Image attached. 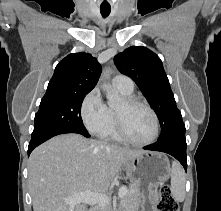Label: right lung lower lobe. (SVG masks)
Masks as SVG:
<instances>
[{
  "instance_id": "1",
  "label": "right lung lower lobe",
  "mask_w": 221,
  "mask_h": 211,
  "mask_svg": "<svg viewBox=\"0 0 221 211\" xmlns=\"http://www.w3.org/2000/svg\"><path fill=\"white\" fill-rule=\"evenodd\" d=\"M65 133H77V134H81L85 137H90L87 130L82 131V130L74 129V128L49 129L44 132L32 135L31 141H30L29 147H28V156L33 151V149H35L38 145L42 144L43 142L47 141L48 139H50L56 135L65 134Z\"/></svg>"
}]
</instances>
